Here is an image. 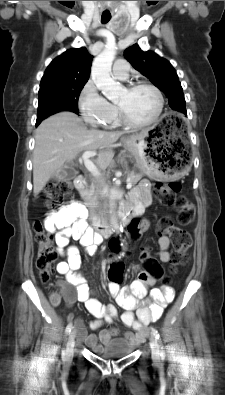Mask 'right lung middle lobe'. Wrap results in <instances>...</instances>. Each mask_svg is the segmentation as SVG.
Returning a JSON list of instances; mask_svg holds the SVG:
<instances>
[{"mask_svg": "<svg viewBox=\"0 0 225 395\" xmlns=\"http://www.w3.org/2000/svg\"><path fill=\"white\" fill-rule=\"evenodd\" d=\"M85 82L40 85L37 121L71 110L78 113V98Z\"/></svg>", "mask_w": 225, "mask_h": 395, "instance_id": "dd1d6c3e", "label": "right lung middle lobe"}]
</instances>
